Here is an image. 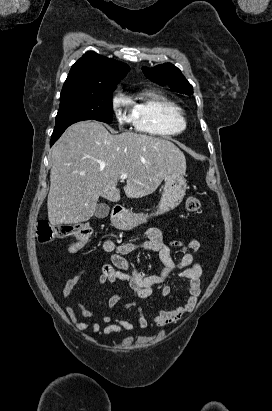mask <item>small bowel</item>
<instances>
[{
  "label": "small bowel",
  "mask_w": 272,
  "mask_h": 411,
  "mask_svg": "<svg viewBox=\"0 0 272 411\" xmlns=\"http://www.w3.org/2000/svg\"><path fill=\"white\" fill-rule=\"evenodd\" d=\"M200 247L201 243L195 239L188 242L173 241L167 244L164 241L162 231L156 227L147 229L146 239L142 242L130 241L117 244L112 240H107L103 243V249L111 254V263L105 264L102 267L98 282L101 285L124 282L131 289L130 294H115L108 299L107 307L113 310V313L101 316V321L106 324L103 328L100 323L91 320L95 314L92 310L85 307L81 298L77 300L76 306L81 316L86 319L85 321L78 320L74 309L69 305L65 306L66 312L78 330H86L91 333L102 332L105 336L130 332L136 326L144 330L150 324L162 327L175 322L184 314L195 309L202 293L203 267L192 253L198 251ZM173 248L181 253V257L177 261L173 259L171 254ZM137 250L156 252L164 265L162 272L155 275H146L134 263L126 259L127 255ZM177 269H181V277L188 282L187 300L183 304L173 309L159 307L158 311L150 318L144 314L141 307L135 301L130 300L121 304L129 297L145 299L153 296L155 293H159L162 297L167 296L171 291L167 279ZM86 273V269H80L65 283L62 291L64 299L72 293ZM128 310L136 311L137 325L119 318L120 313Z\"/></svg>",
  "instance_id": "c3829d8e"
}]
</instances>
